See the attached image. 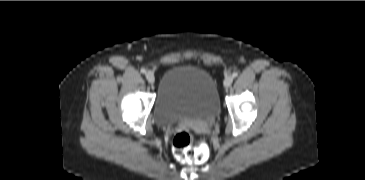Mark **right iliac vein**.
Returning <instances> with one entry per match:
<instances>
[{"mask_svg":"<svg viewBox=\"0 0 365 180\" xmlns=\"http://www.w3.org/2000/svg\"><path fill=\"white\" fill-rule=\"evenodd\" d=\"M146 79L149 83H154L155 82V76L151 71L146 72Z\"/></svg>","mask_w":365,"mask_h":180,"instance_id":"1","label":"right iliac vein"}]
</instances>
